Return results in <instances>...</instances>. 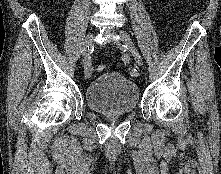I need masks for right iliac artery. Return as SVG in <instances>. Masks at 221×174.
<instances>
[{
  "label": "right iliac artery",
  "instance_id": "obj_1",
  "mask_svg": "<svg viewBox=\"0 0 221 174\" xmlns=\"http://www.w3.org/2000/svg\"><path fill=\"white\" fill-rule=\"evenodd\" d=\"M84 64V75L86 78H91L93 74V67L91 65V57L90 55L83 61Z\"/></svg>",
  "mask_w": 221,
  "mask_h": 174
}]
</instances>
